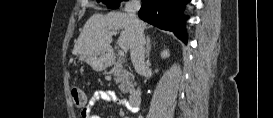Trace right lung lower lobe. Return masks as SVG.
Masks as SVG:
<instances>
[{"instance_id":"1","label":"right lung lower lobe","mask_w":273,"mask_h":118,"mask_svg":"<svg viewBox=\"0 0 273 118\" xmlns=\"http://www.w3.org/2000/svg\"><path fill=\"white\" fill-rule=\"evenodd\" d=\"M190 0H142L139 17L160 29L172 31L180 40L187 43L184 30L186 17L182 12Z\"/></svg>"}]
</instances>
